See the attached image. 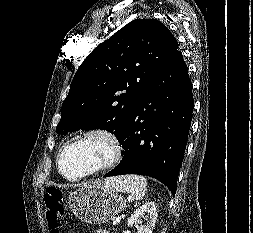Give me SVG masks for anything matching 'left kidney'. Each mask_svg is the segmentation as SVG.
<instances>
[{
    "instance_id": "obj_1",
    "label": "left kidney",
    "mask_w": 253,
    "mask_h": 233,
    "mask_svg": "<svg viewBox=\"0 0 253 233\" xmlns=\"http://www.w3.org/2000/svg\"><path fill=\"white\" fill-rule=\"evenodd\" d=\"M143 217L146 219V224L140 225L137 233H152L157 220V208L154 202H146L137 208L127 220L128 227L141 224Z\"/></svg>"
}]
</instances>
